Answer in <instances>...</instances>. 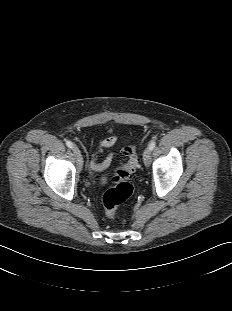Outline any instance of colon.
Masks as SVG:
<instances>
[{
	"label": "colon",
	"mask_w": 232,
	"mask_h": 311,
	"mask_svg": "<svg viewBox=\"0 0 232 311\" xmlns=\"http://www.w3.org/2000/svg\"><path fill=\"white\" fill-rule=\"evenodd\" d=\"M124 152L128 161L115 170L112 178L114 185L102 197L104 212L108 218H115L118 207L133 193L132 179L139 166V160L134 146H127Z\"/></svg>",
	"instance_id": "obj_1"
}]
</instances>
